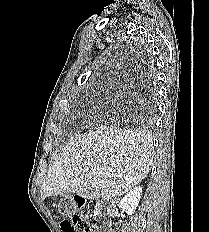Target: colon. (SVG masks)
Wrapping results in <instances>:
<instances>
[{
	"instance_id": "colon-1",
	"label": "colon",
	"mask_w": 209,
	"mask_h": 232,
	"mask_svg": "<svg viewBox=\"0 0 209 232\" xmlns=\"http://www.w3.org/2000/svg\"><path fill=\"white\" fill-rule=\"evenodd\" d=\"M66 215V214H64ZM63 232H91L92 228L88 220L79 214H73L69 221L61 223Z\"/></svg>"
}]
</instances>
